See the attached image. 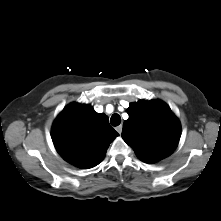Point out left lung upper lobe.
<instances>
[{
  "label": "left lung upper lobe",
  "instance_id": "obj_1",
  "mask_svg": "<svg viewBox=\"0 0 221 221\" xmlns=\"http://www.w3.org/2000/svg\"><path fill=\"white\" fill-rule=\"evenodd\" d=\"M122 137L143 162L154 163L169 156L180 138V123L160 100L131 103Z\"/></svg>",
  "mask_w": 221,
  "mask_h": 221
}]
</instances>
